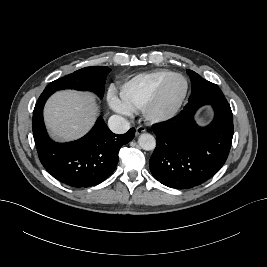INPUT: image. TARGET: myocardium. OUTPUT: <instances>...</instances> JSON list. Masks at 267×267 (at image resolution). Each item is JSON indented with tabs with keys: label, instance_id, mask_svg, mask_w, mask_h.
I'll return each instance as SVG.
<instances>
[{
	"label": "myocardium",
	"instance_id": "1",
	"mask_svg": "<svg viewBox=\"0 0 267 267\" xmlns=\"http://www.w3.org/2000/svg\"><path fill=\"white\" fill-rule=\"evenodd\" d=\"M176 78H181L185 82V89L181 98L171 107L163 108L161 101L168 85ZM189 92V82L187 78L179 73H174L167 77L158 86L150 100L145 105L143 112L145 117L151 122H164L175 117L181 110Z\"/></svg>",
	"mask_w": 267,
	"mask_h": 267
}]
</instances>
